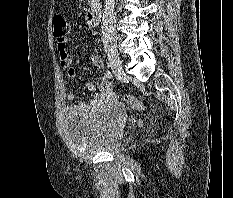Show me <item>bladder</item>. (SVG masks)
<instances>
[{
  "instance_id": "obj_1",
  "label": "bladder",
  "mask_w": 233,
  "mask_h": 198,
  "mask_svg": "<svg viewBox=\"0 0 233 198\" xmlns=\"http://www.w3.org/2000/svg\"><path fill=\"white\" fill-rule=\"evenodd\" d=\"M127 112L118 102L91 113L69 110L63 130L68 145L81 153L119 151L126 143Z\"/></svg>"
}]
</instances>
